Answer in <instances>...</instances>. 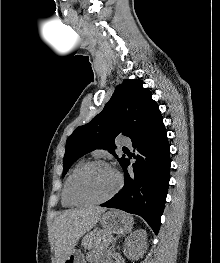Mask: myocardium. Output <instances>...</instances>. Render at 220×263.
<instances>
[{"label":"myocardium","mask_w":220,"mask_h":263,"mask_svg":"<svg viewBox=\"0 0 220 263\" xmlns=\"http://www.w3.org/2000/svg\"><path fill=\"white\" fill-rule=\"evenodd\" d=\"M95 165H105V166H108L110 168L111 165L109 163H107L106 161L104 160H92V161H88V162H85L84 164H82L80 167H78L74 173L71 175L70 179H69V182H68V198L69 200L75 204V205H95V204H101V203H104L108 200H110L112 197H114L117 192L120 190L121 186H122V183H123V179H122V176L120 175V173L113 169L115 174H116V177H117V183L115 185V187L113 188V190L107 194L106 196L102 197V198H99V199H94V200H82V199H79L75 196L74 194V190H73V187H74V182L76 180V178L83 172L85 171L86 169L92 167V166H95Z\"/></svg>","instance_id":"1"}]
</instances>
